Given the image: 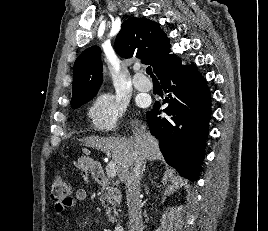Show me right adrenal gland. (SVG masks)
<instances>
[{
	"label": "right adrenal gland",
	"instance_id": "1",
	"mask_svg": "<svg viewBox=\"0 0 268 231\" xmlns=\"http://www.w3.org/2000/svg\"><path fill=\"white\" fill-rule=\"evenodd\" d=\"M145 170H146V164L143 165V168H142V171H141V176H143Z\"/></svg>",
	"mask_w": 268,
	"mask_h": 231
}]
</instances>
